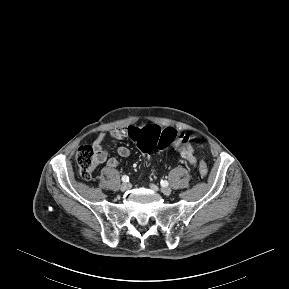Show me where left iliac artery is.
Instances as JSON below:
<instances>
[{
    "label": "left iliac artery",
    "mask_w": 289,
    "mask_h": 289,
    "mask_svg": "<svg viewBox=\"0 0 289 289\" xmlns=\"http://www.w3.org/2000/svg\"><path fill=\"white\" fill-rule=\"evenodd\" d=\"M161 185H162L163 187H166V186L169 185V183H168V181H166V180H162V181H161Z\"/></svg>",
    "instance_id": "obj_1"
}]
</instances>
